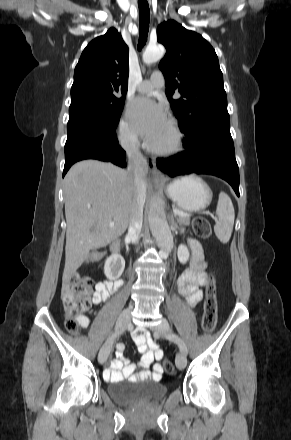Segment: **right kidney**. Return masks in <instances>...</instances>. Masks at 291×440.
<instances>
[{"label": "right kidney", "mask_w": 291, "mask_h": 440, "mask_svg": "<svg viewBox=\"0 0 291 440\" xmlns=\"http://www.w3.org/2000/svg\"><path fill=\"white\" fill-rule=\"evenodd\" d=\"M125 268V260L120 255H111L105 261L104 273L109 280L118 279Z\"/></svg>", "instance_id": "right-kidney-1"}]
</instances>
